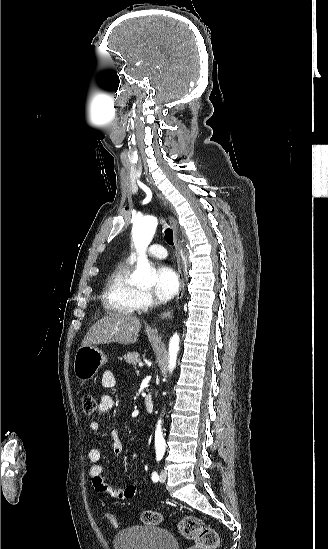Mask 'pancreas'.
Here are the masks:
<instances>
[{
	"instance_id": "pancreas-1",
	"label": "pancreas",
	"mask_w": 328,
	"mask_h": 549,
	"mask_svg": "<svg viewBox=\"0 0 328 549\" xmlns=\"http://www.w3.org/2000/svg\"><path fill=\"white\" fill-rule=\"evenodd\" d=\"M123 359L124 361H126V363H130V365H138V363H141V357L139 353H126Z\"/></svg>"
}]
</instances>
